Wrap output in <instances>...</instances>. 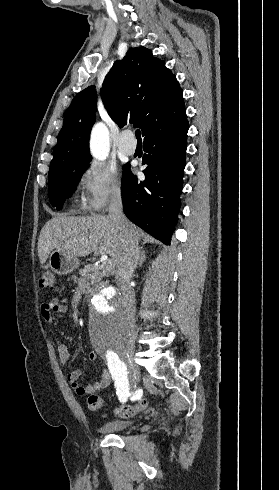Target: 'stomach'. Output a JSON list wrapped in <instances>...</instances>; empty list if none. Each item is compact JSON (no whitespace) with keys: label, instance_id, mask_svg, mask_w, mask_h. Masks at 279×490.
Here are the masks:
<instances>
[{"label":"stomach","instance_id":"obj_1","mask_svg":"<svg viewBox=\"0 0 279 490\" xmlns=\"http://www.w3.org/2000/svg\"><path fill=\"white\" fill-rule=\"evenodd\" d=\"M48 266L58 276H66V274H71L73 270L79 268L80 260L77 256H68L59 250H54L49 256Z\"/></svg>","mask_w":279,"mask_h":490}]
</instances>
